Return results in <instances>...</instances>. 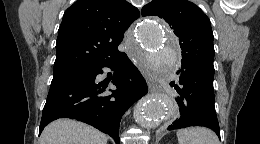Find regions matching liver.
Masks as SVG:
<instances>
[{"instance_id":"6515ba94","label":"liver","mask_w":260,"mask_h":144,"mask_svg":"<svg viewBox=\"0 0 260 144\" xmlns=\"http://www.w3.org/2000/svg\"><path fill=\"white\" fill-rule=\"evenodd\" d=\"M108 137L97 129L71 119H58L47 125L39 144H107Z\"/></svg>"}]
</instances>
